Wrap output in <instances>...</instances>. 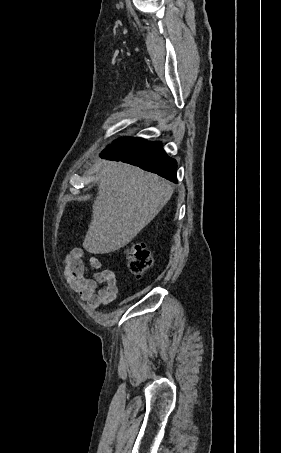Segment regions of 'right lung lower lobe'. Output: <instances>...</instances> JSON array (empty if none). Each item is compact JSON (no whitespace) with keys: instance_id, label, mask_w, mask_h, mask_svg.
I'll return each instance as SVG.
<instances>
[{"instance_id":"1","label":"right lung lower lobe","mask_w":281,"mask_h":453,"mask_svg":"<svg viewBox=\"0 0 281 453\" xmlns=\"http://www.w3.org/2000/svg\"><path fill=\"white\" fill-rule=\"evenodd\" d=\"M100 156L139 166L177 183L176 161L168 157L160 142H150L143 138H122L109 145Z\"/></svg>"}]
</instances>
